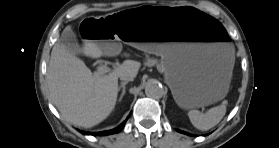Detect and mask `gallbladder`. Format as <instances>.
<instances>
[{"instance_id": "1", "label": "gallbladder", "mask_w": 279, "mask_h": 148, "mask_svg": "<svg viewBox=\"0 0 279 148\" xmlns=\"http://www.w3.org/2000/svg\"><path fill=\"white\" fill-rule=\"evenodd\" d=\"M59 44L62 45L69 53L76 55V54H81L82 49L80 45L77 42V38L75 33L72 31L70 27H67L60 39H59Z\"/></svg>"}]
</instances>
